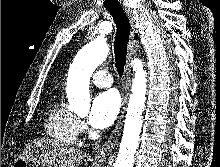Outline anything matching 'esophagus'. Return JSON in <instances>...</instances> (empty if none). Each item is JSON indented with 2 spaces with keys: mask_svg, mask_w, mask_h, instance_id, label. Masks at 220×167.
<instances>
[{
  "mask_svg": "<svg viewBox=\"0 0 220 167\" xmlns=\"http://www.w3.org/2000/svg\"><path fill=\"white\" fill-rule=\"evenodd\" d=\"M123 9L129 18V22L131 25V36H130V42H129V47H128L127 62L125 64L124 73H123L124 84H123V89L121 93L122 106H121V110H120L114 130L112 131L107 141L96 152L95 157L97 160H105L106 158H108L112 154L119 140L121 130L123 127L124 113H125V108H126L127 101H128L129 87H130V82H131L130 63L139 49V42L134 39V34L136 33V24H135L132 9L127 5H124Z\"/></svg>",
  "mask_w": 220,
  "mask_h": 167,
  "instance_id": "34e87169",
  "label": "esophagus"
}]
</instances>
